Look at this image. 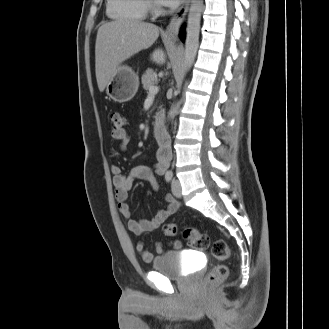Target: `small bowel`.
I'll list each match as a JSON object with an SVG mask.
<instances>
[{"mask_svg":"<svg viewBox=\"0 0 329 329\" xmlns=\"http://www.w3.org/2000/svg\"><path fill=\"white\" fill-rule=\"evenodd\" d=\"M115 140L118 141L122 150L126 149L132 142V137L128 131H124L121 136L112 135ZM167 163L165 161H158L154 164V172L158 175L163 174L166 171ZM153 169L147 165H136L125 174L122 168L118 164L111 166V172L113 174V186L115 191V198L118 204V209L121 216L127 220L128 228L136 235H140L147 231L157 229L167 218L172 216L180 207V203L172 195H166L165 201L167 206L164 210L160 211L155 217L150 220H135L132 218V212L128 204L126 203L129 192L131 190L134 180L147 181L154 190H158L159 185ZM170 246L179 250L182 244L179 240H172ZM136 251L140 254L141 258L145 262H150L153 259V255L146 249L143 242H137L135 245ZM157 254L164 252V248L161 244L156 245Z\"/></svg>","mask_w":329,"mask_h":329,"instance_id":"small-bowel-1","label":"small bowel"}]
</instances>
